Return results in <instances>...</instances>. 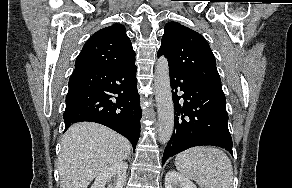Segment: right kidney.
<instances>
[{"instance_id": "obj_1", "label": "right kidney", "mask_w": 292, "mask_h": 188, "mask_svg": "<svg viewBox=\"0 0 292 188\" xmlns=\"http://www.w3.org/2000/svg\"><path fill=\"white\" fill-rule=\"evenodd\" d=\"M127 169L126 162L114 163L97 176L91 188H105L106 184L108 188H123Z\"/></svg>"}]
</instances>
